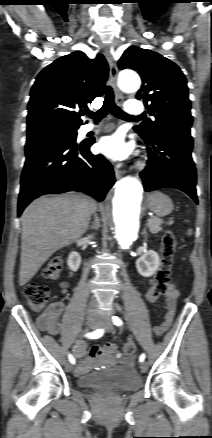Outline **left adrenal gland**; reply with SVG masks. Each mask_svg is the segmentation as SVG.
Returning <instances> with one entry per match:
<instances>
[{
	"label": "left adrenal gland",
	"mask_w": 212,
	"mask_h": 438,
	"mask_svg": "<svg viewBox=\"0 0 212 438\" xmlns=\"http://www.w3.org/2000/svg\"><path fill=\"white\" fill-rule=\"evenodd\" d=\"M142 234H143V235H146V229H145V228H144Z\"/></svg>",
	"instance_id": "a2214340"
}]
</instances>
